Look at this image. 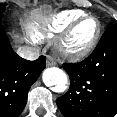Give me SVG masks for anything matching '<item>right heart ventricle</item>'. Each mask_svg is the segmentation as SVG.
I'll return each mask as SVG.
<instances>
[{
  "label": "right heart ventricle",
  "instance_id": "right-heart-ventricle-1",
  "mask_svg": "<svg viewBox=\"0 0 117 117\" xmlns=\"http://www.w3.org/2000/svg\"><path fill=\"white\" fill-rule=\"evenodd\" d=\"M82 10H64L55 14L43 26L35 25L31 28V38L36 42L48 40L66 30L76 19L85 16Z\"/></svg>",
  "mask_w": 117,
  "mask_h": 117
}]
</instances>
